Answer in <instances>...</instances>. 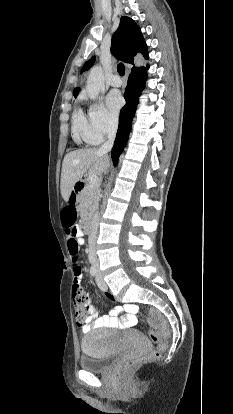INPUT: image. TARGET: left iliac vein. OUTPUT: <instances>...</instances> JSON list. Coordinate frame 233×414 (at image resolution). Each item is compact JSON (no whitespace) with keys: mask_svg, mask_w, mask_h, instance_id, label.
I'll return each instance as SVG.
<instances>
[{"mask_svg":"<svg viewBox=\"0 0 233 414\" xmlns=\"http://www.w3.org/2000/svg\"><path fill=\"white\" fill-rule=\"evenodd\" d=\"M96 283L101 290H107V284L105 283L100 271L97 269Z\"/></svg>","mask_w":233,"mask_h":414,"instance_id":"4c4485c4","label":"left iliac vein"}]
</instances>
